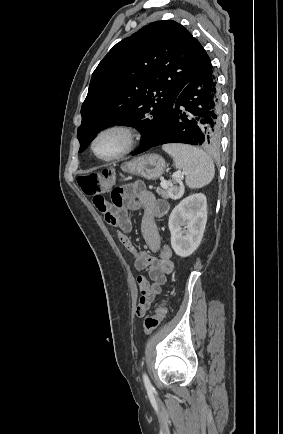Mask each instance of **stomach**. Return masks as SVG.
Returning a JSON list of instances; mask_svg holds the SVG:
<instances>
[{"mask_svg": "<svg viewBox=\"0 0 283 434\" xmlns=\"http://www.w3.org/2000/svg\"><path fill=\"white\" fill-rule=\"evenodd\" d=\"M166 168L165 160L157 154H147L133 159L122 169L133 175L156 180L162 176Z\"/></svg>", "mask_w": 283, "mask_h": 434, "instance_id": "0dacf381", "label": "stomach"}]
</instances>
